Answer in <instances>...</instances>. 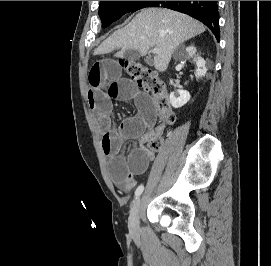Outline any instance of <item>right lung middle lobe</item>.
<instances>
[{"label": "right lung middle lobe", "instance_id": "obj_1", "mask_svg": "<svg viewBox=\"0 0 271 266\" xmlns=\"http://www.w3.org/2000/svg\"><path fill=\"white\" fill-rule=\"evenodd\" d=\"M154 1H100L99 16L102 27L109 26L124 14L149 7Z\"/></svg>", "mask_w": 271, "mask_h": 266}]
</instances>
